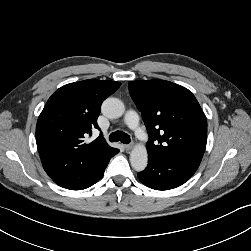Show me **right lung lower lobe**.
<instances>
[{
    "label": "right lung lower lobe",
    "mask_w": 251,
    "mask_h": 251,
    "mask_svg": "<svg viewBox=\"0 0 251 251\" xmlns=\"http://www.w3.org/2000/svg\"><path fill=\"white\" fill-rule=\"evenodd\" d=\"M119 152L114 148L110 154L99 163L93 170L82 174L77 177L65 178H52V180L61 187L71 190H82L95 184L104 175V170L107 167L110 159Z\"/></svg>",
    "instance_id": "obj_1"
}]
</instances>
